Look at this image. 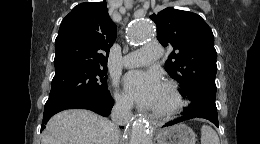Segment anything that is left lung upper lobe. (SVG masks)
Listing matches in <instances>:
<instances>
[{"label": "left lung upper lobe", "mask_w": 260, "mask_h": 144, "mask_svg": "<svg viewBox=\"0 0 260 144\" xmlns=\"http://www.w3.org/2000/svg\"><path fill=\"white\" fill-rule=\"evenodd\" d=\"M150 18L156 23L159 42L173 49L165 70L191 101L184 111L216 108V50L210 27L198 14L171 7Z\"/></svg>", "instance_id": "left-lung-upper-lobe-1"}]
</instances>
